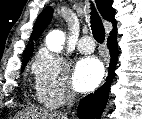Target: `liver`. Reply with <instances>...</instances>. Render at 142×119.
<instances>
[{
	"instance_id": "6515ba94",
	"label": "liver",
	"mask_w": 142,
	"mask_h": 119,
	"mask_svg": "<svg viewBox=\"0 0 142 119\" xmlns=\"http://www.w3.org/2000/svg\"><path fill=\"white\" fill-rule=\"evenodd\" d=\"M20 119H68V117L55 111L29 109L20 115Z\"/></svg>"
}]
</instances>
